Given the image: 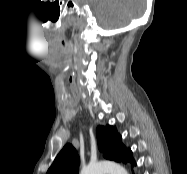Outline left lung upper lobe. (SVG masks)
<instances>
[{"instance_id":"left-lung-upper-lobe-1","label":"left lung upper lobe","mask_w":187,"mask_h":174,"mask_svg":"<svg viewBox=\"0 0 187 174\" xmlns=\"http://www.w3.org/2000/svg\"><path fill=\"white\" fill-rule=\"evenodd\" d=\"M97 139L99 150L109 160L130 162L133 166L135 161L132 152L122 144V138L112 126H98ZM79 158L75 148L67 144L55 158L47 174H78Z\"/></svg>"}]
</instances>
